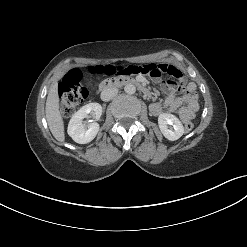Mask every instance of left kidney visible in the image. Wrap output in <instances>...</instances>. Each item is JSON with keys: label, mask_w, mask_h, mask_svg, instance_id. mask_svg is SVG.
Segmentation results:
<instances>
[{"label": "left kidney", "mask_w": 247, "mask_h": 247, "mask_svg": "<svg viewBox=\"0 0 247 247\" xmlns=\"http://www.w3.org/2000/svg\"><path fill=\"white\" fill-rule=\"evenodd\" d=\"M168 124L173 126V130L168 128ZM159 128L165 138L171 141L179 139L184 133L181 121L173 114L163 113L158 117Z\"/></svg>", "instance_id": "obj_1"}]
</instances>
